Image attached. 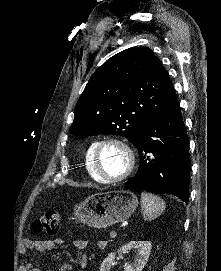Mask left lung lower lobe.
<instances>
[{"label":"left lung lower lobe","instance_id":"left-lung-lower-lobe-1","mask_svg":"<svg viewBox=\"0 0 221 271\" xmlns=\"http://www.w3.org/2000/svg\"><path fill=\"white\" fill-rule=\"evenodd\" d=\"M134 146L138 149L140 166L125 188L168 193L187 202L189 140L177 99L164 113L152 118L142 127Z\"/></svg>","mask_w":221,"mask_h":271}]
</instances>
